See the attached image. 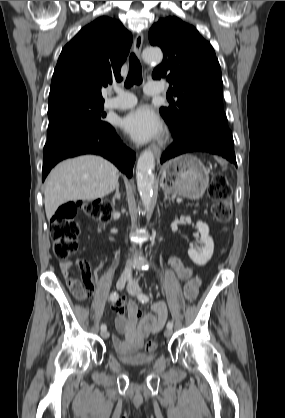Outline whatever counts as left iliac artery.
I'll return each mask as SVG.
<instances>
[{"label":"left iliac artery","mask_w":285,"mask_h":418,"mask_svg":"<svg viewBox=\"0 0 285 418\" xmlns=\"http://www.w3.org/2000/svg\"><path fill=\"white\" fill-rule=\"evenodd\" d=\"M138 299L141 301V302H148L149 301V297L147 296V295H145V294H140L139 296H138ZM172 327H173V322L172 321H169L168 323H167V328H171L172 329Z\"/></svg>","instance_id":"obj_1"}]
</instances>
